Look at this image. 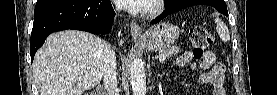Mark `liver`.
Instances as JSON below:
<instances>
[{
    "instance_id": "1",
    "label": "liver",
    "mask_w": 277,
    "mask_h": 95,
    "mask_svg": "<svg viewBox=\"0 0 277 95\" xmlns=\"http://www.w3.org/2000/svg\"><path fill=\"white\" fill-rule=\"evenodd\" d=\"M110 45L82 31L50 34L35 55L33 77L40 95H82L100 83Z\"/></svg>"
}]
</instances>
